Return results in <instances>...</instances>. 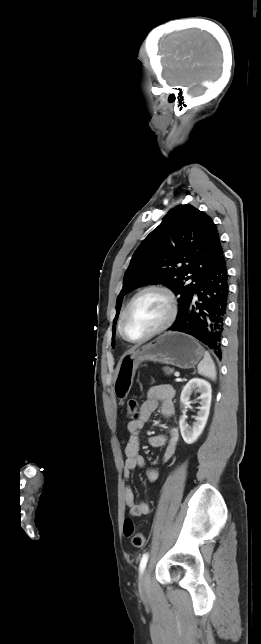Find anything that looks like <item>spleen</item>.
<instances>
[{"instance_id":"1","label":"spleen","mask_w":261,"mask_h":644,"mask_svg":"<svg viewBox=\"0 0 261 644\" xmlns=\"http://www.w3.org/2000/svg\"><path fill=\"white\" fill-rule=\"evenodd\" d=\"M198 373L202 376L210 378L211 380L216 379V368L215 364L209 354V352L204 353V358L198 364Z\"/></svg>"}]
</instances>
